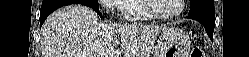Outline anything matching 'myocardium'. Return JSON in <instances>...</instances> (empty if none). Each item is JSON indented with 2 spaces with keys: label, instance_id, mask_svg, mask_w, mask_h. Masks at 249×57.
<instances>
[{
  "label": "myocardium",
  "instance_id": "1",
  "mask_svg": "<svg viewBox=\"0 0 249 57\" xmlns=\"http://www.w3.org/2000/svg\"><path fill=\"white\" fill-rule=\"evenodd\" d=\"M154 1L155 0H144V6H145V10L149 13V15L152 18L158 19V20H167V19L175 18L179 16L180 14H182L185 8V1L179 0V8L176 12L169 13V14H160L155 11Z\"/></svg>",
  "mask_w": 249,
  "mask_h": 57
}]
</instances>
